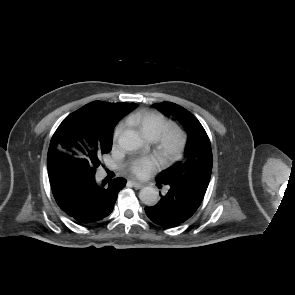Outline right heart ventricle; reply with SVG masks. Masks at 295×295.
<instances>
[{
	"label": "right heart ventricle",
	"mask_w": 295,
	"mask_h": 295,
	"mask_svg": "<svg viewBox=\"0 0 295 295\" xmlns=\"http://www.w3.org/2000/svg\"><path fill=\"white\" fill-rule=\"evenodd\" d=\"M129 122L137 126L142 134L150 140H155L165 126L170 123L165 115L156 110L138 111L130 116Z\"/></svg>",
	"instance_id": "1"
}]
</instances>
